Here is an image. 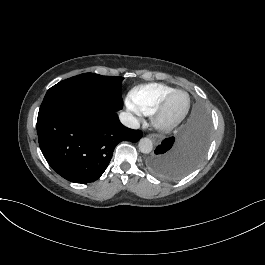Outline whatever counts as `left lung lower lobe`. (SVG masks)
I'll use <instances>...</instances> for the list:
<instances>
[{"label":"left lung lower lobe","mask_w":265,"mask_h":265,"mask_svg":"<svg viewBox=\"0 0 265 265\" xmlns=\"http://www.w3.org/2000/svg\"><path fill=\"white\" fill-rule=\"evenodd\" d=\"M209 139V117L205 108L197 104L175 137L164 139L147 158L148 170L164 179L185 176L203 160Z\"/></svg>","instance_id":"obj_1"}]
</instances>
